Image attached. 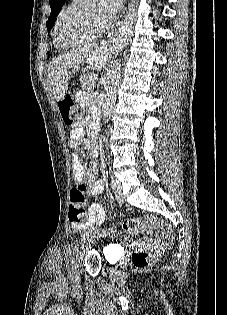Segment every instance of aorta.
<instances>
[{
    "instance_id": "1",
    "label": "aorta",
    "mask_w": 227,
    "mask_h": 315,
    "mask_svg": "<svg viewBox=\"0 0 227 315\" xmlns=\"http://www.w3.org/2000/svg\"><path fill=\"white\" fill-rule=\"evenodd\" d=\"M130 34L124 30L117 32L111 40V45L115 51H120L126 44ZM120 59H116L108 72L107 79L104 84V100L102 104V113L105 120L110 118L114 104L116 101V94L121 79V64Z\"/></svg>"
}]
</instances>
